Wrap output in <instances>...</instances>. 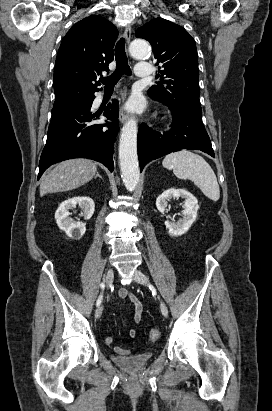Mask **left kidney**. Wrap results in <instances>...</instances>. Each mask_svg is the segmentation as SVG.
<instances>
[{"label": "left kidney", "instance_id": "5707ae66", "mask_svg": "<svg viewBox=\"0 0 272 411\" xmlns=\"http://www.w3.org/2000/svg\"><path fill=\"white\" fill-rule=\"evenodd\" d=\"M176 197L185 199L183 205L184 210L182 211V218L177 222L174 220L165 221L166 228L171 236H181L186 233L196 220L197 211L199 209L197 199L190 192L184 189L170 188L159 195L156 200V206L159 212L164 213L170 199Z\"/></svg>", "mask_w": 272, "mask_h": 411}]
</instances>
